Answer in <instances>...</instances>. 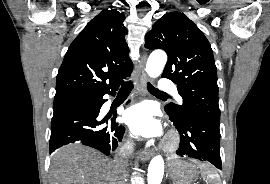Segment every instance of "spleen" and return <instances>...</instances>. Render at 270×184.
Here are the masks:
<instances>
[{"instance_id":"spleen-1","label":"spleen","mask_w":270,"mask_h":184,"mask_svg":"<svg viewBox=\"0 0 270 184\" xmlns=\"http://www.w3.org/2000/svg\"><path fill=\"white\" fill-rule=\"evenodd\" d=\"M200 169V173L203 177H205L210 184H220V176L218 173L213 171L209 165L207 164H201L198 166Z\"/></svg>"}]
</instances>
